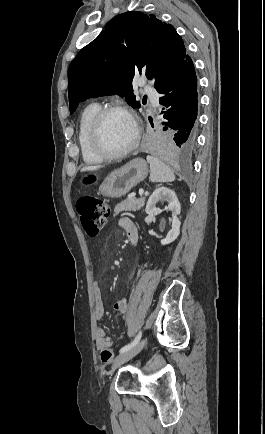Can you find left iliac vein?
Instances as JSON below:
<instances>
[{
	"instance_id": "1",
	"label": "left iliac vein",
	"mask_w": 265,
	"mask_h": 434,
	"mask_svg": "<svg viewBox=\"0 0 265 434\" xmlns=\"http://www.w3.org/2000/svg\"><path fill=\"white\" fill-rule=\"evenodd\" d=\"M145 342H146V340L143 339L140 343H138L137 345H135L134 347H132L128 351H125V352L121 353L120 355H118L113 362L112 371L121 367L128 360H130L133 356H135L137 353H139L141 351V349L143 348Z\"/></svg>"
}]
</instances>
